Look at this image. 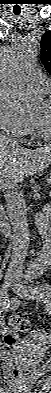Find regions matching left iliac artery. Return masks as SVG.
<instances>
[{"mask_svg": "<svg viewBox=\"0 0 51 393\" xmlns=\"http://www.w3.org/2000/svg\"><path fill=\"white\" fill-rule=\"evenodd\" d=\"M35 275H28L26 277V283L31 282ZM26 292H29L32 296H37L45 300L48 312L51 314V286L39 285V286H28Z\"/></svg>", "mask_w": 51, "mask_h": 393, "instance_id": "obj_1", "label": "left iliac artery"}]
</instances>
